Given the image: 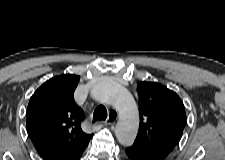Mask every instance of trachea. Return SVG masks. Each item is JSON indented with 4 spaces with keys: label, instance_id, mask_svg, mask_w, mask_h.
<instances>
[{
    "label": "trachea",
    "instance_id": "3493384b",
    "mask_svg": "<svg viewBox=\"0 0 225 160\" xmlns=\"http://www.w3.org/2000/svg\"><path fill=\"white\" fill-rule=\"evenodd\" d=\"M107 118V109L103 105H99L95 108L93 113V122L99 120H106Z\"/></svg>",
    "mask_w": 225,
    "mask_h": 160
}]
</instances>
